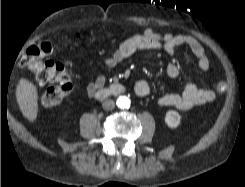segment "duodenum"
I'll list each match as a JSON object with an SVG mask.
<instances>
[{"mask_svg":"<svg viewBox=\"0 0 245 187\" xmlns=\"http://www.w3.org/2000/svg\"><path fill=\"white\" fill-rule=\"evenodd\" d=\"M125 90L124 86L120 83H114L109 87L102 88L95 92V97L98 99L106 98L110 95L121 94Z\"/></svg>","mask_w":245,"mask_h":187,"instance_id":"410a0bca","label":"duodenum"}]
</instances>
